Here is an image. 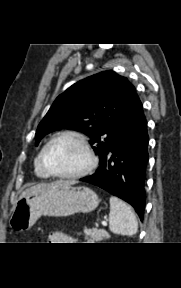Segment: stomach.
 <instances>
[{
	"label": "stomach",
	"instance_id": "1",
	"mask_svg": "<svg viewBox=\"0 0 181 288\" xmlns=\"http://www.w3.org/2000/svg\"><path fill=\"white\" fill-rule=\"evenodd\" d=\"M99 198L88 187L52 183L45 190L19 198L9 225L13 230H29L41 217H65L78 212L89 213L96 209Z\"/></svg>",
	"mask_w": 181,
	"mask_h": 288
}]
</instances>
